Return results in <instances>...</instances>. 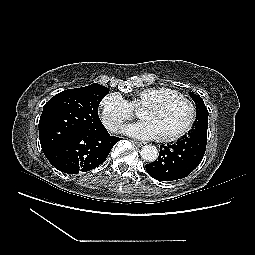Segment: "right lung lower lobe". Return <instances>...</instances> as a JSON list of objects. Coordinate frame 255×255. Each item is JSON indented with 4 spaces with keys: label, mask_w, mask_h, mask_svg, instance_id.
Here are the masks:
<instances>
[{
    "label": "right lung lower lobe",
    "mask_w": 255,
    "mask_h": 255,
    "mask_svg": "<svg viewBox=\"0 0 255 255\" xmlns=\"http://www.w3.org/2000/svg\"><path fill=\"white\" fill-rule=\"evenodd\" d=\"M119 140L118 137L110 136L106 129L98 133L76 132L64 139L46 157L62 172H86L103 163Z\"/></svg>",
    "instance_id": "98d812e1"
}]
</instances>
